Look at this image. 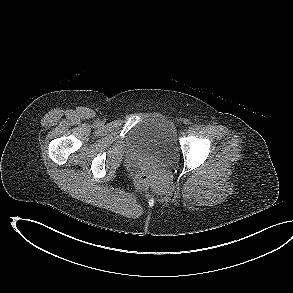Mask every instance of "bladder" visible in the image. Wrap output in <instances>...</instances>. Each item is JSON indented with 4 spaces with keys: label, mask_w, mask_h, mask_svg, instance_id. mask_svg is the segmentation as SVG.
Here are the masks:
<instances>
[{
    "label": "bladder",
    "mask_w": 293,
    "mask_h": 293,
    "mask_svg": "<svg viewBox=\"0 0 293 293\" xmlns=\"http://www.w3.org/2000/svg\"><path fill=\"white\" fill-rule=\"evenodd\" d=\"M131 145L160 165L176 161L179 154L177 133L174 124L162 116L141 120L128 135Z\"/></svg>",
    "instance_id": "obj_1"
}]
</instances>
